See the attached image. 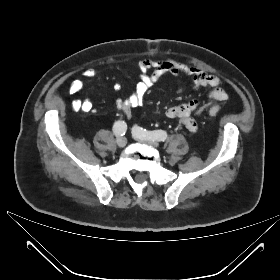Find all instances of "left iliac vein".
<instances>
[{"instance_id":"4c4485c4","label":"left iliac vein","mask_w":280,"mask_h":280,"mask_svg":"<svg viewBox=\"0 0 280 280\" xmlns=\"http://www.w3.org/2000/svg\"><path fill=\"white\" fill-rule=\"evenodd\" d=\"M133 137L135 140H137L139 142L147 143L153 147H158V145H159L158 141H156L154 139L141 138L135 132H133Z\"/></svg>"}]
</instances>
